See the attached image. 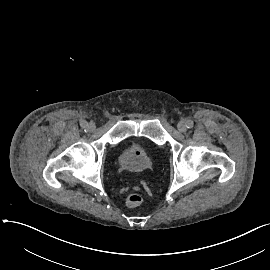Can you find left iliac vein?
I'll list each match as a JSON object with an SVG mask.
<instances>
[{
    "instance_id": "4c4485c4",
    "label": "left iliac vein",
    "mask_w": 270,
    "mask_h": 270,
    "mask_svg": "<svg viewBox=\"0 0 270 270\" xmlns=\"http://www.w3.org/2000/svg\"><path fill=\"white\" fill-rule=\"evenodd\" d=\"M177 128L180 132H186L187 131V126H186V123L184 121H180L178 124H177Z\"/></svg>"
}]
</instances>
